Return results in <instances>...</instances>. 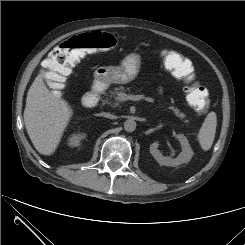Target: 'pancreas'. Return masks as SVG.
<instances>
[{"label": "pancreas", "mask_w": 245, "mask_h": 245, "mask_svg": "<svg viewBox=\"0 0 245 245\" xmlns=\"http://www.w3.org/2000/svg\"><path fill=\"white\" fill-rule=\"evenodd\" d=\"M125 88L124 87H116L112 90H109V93H106V97L105 99H103V105L108 104L111 106H117L118 105V96L120 93L124 92ZM171 110L174 111V114L179 117L180 119H184L186 117V115L182 112H180V110L178 108L175 107H170Z\"/></svg>", "instance_id": "obj_1"}]
</instances>
